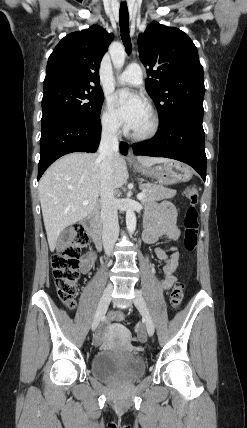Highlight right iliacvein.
Instances as JSON below:
<instances>
[{"label": "right iliac vein", "mask_w": 247, "mask_h": 428, "mask_svg": "<svg viewBox=\"0 0 247 428\" xmlns=\"http://www.w3.org/2000/svg\"><path fill=\"white\" fill-rule=\"evenodd\" d=\"M112 290H113V286L111 283H109L103 294L102 297L100 299V302L98 304L93 322H92V330H95L97 328V326L100 323V320L102 319V317L104 316V314L107 311V308L109 306L110 300H111V294H112Z\"/></svg>", "instance_id": "63e3f726"}]
</instances>
